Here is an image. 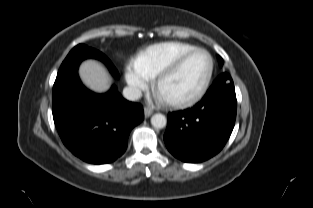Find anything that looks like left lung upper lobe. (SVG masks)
Returning <instances> with one entry per match:
<instances>
[{"instance_id":"1","label":"left lung upper lobe","mask_w":313,"mask_h":208,"mask_svg":"<svg viewBox=\"0 0 313 208\" xmlns=\"http://www.w3.org/2000/svg\"><path fill=\"white\" fill-rule=\"evenodd\" d=\"M218 61H219V65L222 66L223 64V61H222V58L220 56H218ZM223 74H228V73H223ZM222 74V75H223ZM229 75V74H228Z\"/></svg>"}]
</instances>
